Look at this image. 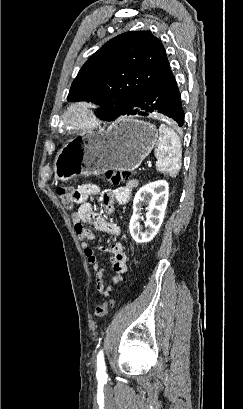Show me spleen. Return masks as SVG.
<instances>
[{
	"label": "spleen",
	"instance_id": "obj_1",
	"mask_svg": "<svg viewBox=\"0 0 243 409\" xmlns=\"http://www.w3.org/2000/svg\"><path fill=\"white\" fill-rule=\"evenodd\" d=\"M155 156L157 170L176 177L181 168V142L175 131L164 124L159 127Z\"/></svg>",
	"mask_w": 243,
	"mask_h": 409
}]
</instances>
